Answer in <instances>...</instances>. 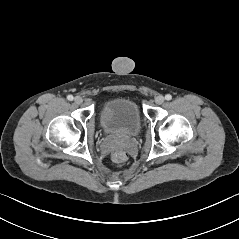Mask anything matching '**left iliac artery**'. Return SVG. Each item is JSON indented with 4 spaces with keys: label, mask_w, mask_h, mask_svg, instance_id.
I'll return each mask as SVG.
<instances>
[{
    "label": "left iliac artery",
    "mask_w": 239,
    "mask_h": 239,
    "mask_svg": "<svg viewBox=\"0 0 239 239\" xmlns=\"http://www.w3.org/2000/svg\"><path fill=\"white\" fill-rule=\"evenodd\" d=\"M165 99L169 101V100L172 99V96H171L170 94H167V95L165 96Z\"/></svg>",
    "instance_id": "left-iliac-artery-1"
}]
</instances>
